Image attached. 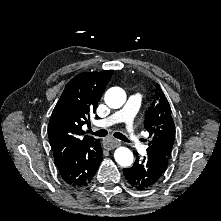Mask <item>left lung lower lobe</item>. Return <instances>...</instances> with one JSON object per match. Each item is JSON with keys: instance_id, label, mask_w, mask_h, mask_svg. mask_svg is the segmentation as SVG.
<instances>
[{"instance_id": "left-lung-lower-lobe-1", "label": "left lung lower lobe", "mask_w": 221, "mask_h": 221, "mask_svg": "<svg viewBox=\"0 0 221 221\" xmlns=\"http://www.w3.org/2000/svg\"><path fill=\"white\" fill-rule=\"evenodd\" d=\"M123 170L131 187L137 190H145L160 181L166 167L147 156L141 161L137 158L132 167Z\"/></svg>"}]
</instances>
